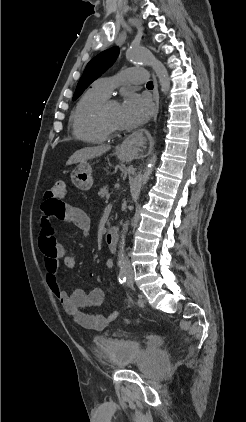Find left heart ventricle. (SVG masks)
Returning a JSON list of instances; mask_svg holds the SVG:
<instances>
[{
	"instance_id": "obj_1",
	"label": "left heart ventricle",
	"mask_w": 246,
	"mask_h": 422,
	"mask_svg": "<svg viewBox=\"0 0 246 422\" xmlns=\"http://www.w3.org/2000/svg\"><path fill=\"white\" fill-rule=\"evenodd\" d=\"M119 110L120 106L118 104H111L106 111V117L110 125L115 128H121L119 122Z\"/></svg>"
}]
</instances>
